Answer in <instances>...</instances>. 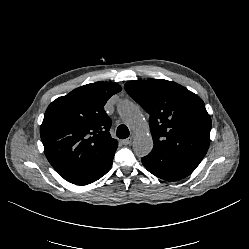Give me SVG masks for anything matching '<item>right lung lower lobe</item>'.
Returning a JSON list of instances; mask_svg holds the SVG:
<instances>
[{"label":"right lung lower lobe","mask_w":249,"mask_h":249,"mask_svg":"<svg viewBox=\"0 0 249 249\" xmlns=\"http://www.w3.org/2000/svg\"><path fill=\"white\" fill-rule=\"evenodd\" d=\"M115 151L116 150L112 151L106 158H104L99 164L93 167L90 171L69 182L77 185H86L104 176L112 166Z\"/></svg>","instance_id":"98d812e1"}]
</instances>
